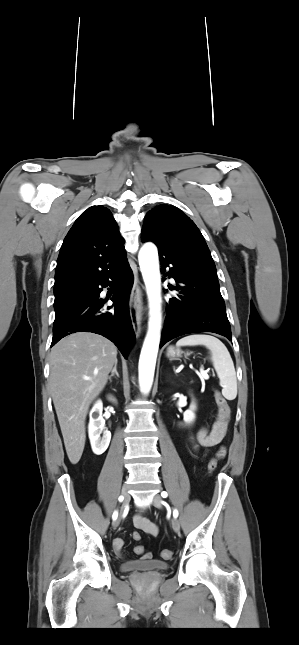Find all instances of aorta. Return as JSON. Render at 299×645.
Segmentation results:
<instances>
[{"mask_svg": "<svg viewBox=\"0 0 299 645\" xmlns=\"http://www.w3.org/2000/svg\"><path fill=\"white\" fill-rule=\"evenodd\" d=\"M140 270L149 300L148 332L139 359L141 390L148 393L152 387L161 331V279L158 251L153 243L142 246L138 255Z\"/></svg>", "mask_w": 299, "mask_h": 645, "instance_id": "762f6f07", "label": "aorta"}]
</instances>
